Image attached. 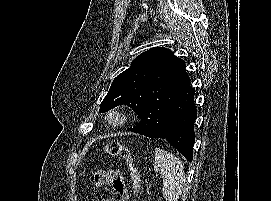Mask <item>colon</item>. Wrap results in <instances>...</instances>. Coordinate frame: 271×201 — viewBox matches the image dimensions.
Here are the masks:
<instances>
[{"label": "colon", "instance_id": "1", "mask_svg": "<svg viewBox=\"0 0 271 201\" xmlns=\"http://www.w3.org/2000/svg\"><path fill=\"white\" fill-rule=\"evenodd\" d=\"M103 154L112 157H120L123 159L128 167L133 187L135 189L139 187V172L134 164L132 154L125 144L119 141H111L104 146Z\"/></svg>", "mask_w": 271, "mask_h": 201}]
</instances>
